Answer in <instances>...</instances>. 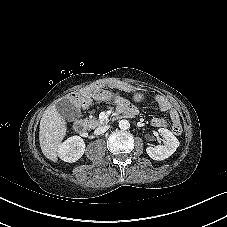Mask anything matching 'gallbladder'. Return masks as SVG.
<instances>
[{
	"label": "gallbladder",
	"mask_w": 227,
	"mask_h": 227,
	"mask_svg": "<svg viewBox=\"0 0 227 227\" xmlns=\"http://www.w3.org/2000/svg\"><path fill=\"white\" fill-rule=\"evenodd\" d=\"M58 112L66 119H75L80 116V110L70 100L63 98L57 103Z\"/></svg>",
	"instance_id": "bac80fb5"
}]
</instances>
